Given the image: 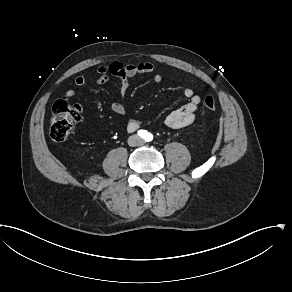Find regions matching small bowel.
Instances as JSON below:
<instances>
[{
	"mask_svg": "<svg viewBox=\"0 0 292 292\" xmlns=\"http://www.w3.org/2000/svg\"><path fill=\"white\" fill-rule=\"evenodd\" d=\"M154 66L150 62L143 63H122L119 61L112 62L109 66H101L98 68V76L95 78L97 84L106 83L111 76L116 77L119 81V91L122 98L126 96L129 90L128 79L133 78L138 75L150 74L153 73ZM155 83H160L162 77L159 74H155L153 77ZM86 79L84 76H77L74 79V84L77 87L85 85ZM184 96L188 99V102L171 112L165 118V125L171 129L184 128L191 125L196 118V111L200 104V96L197 95L193 89L186 88L184 89ZM67 97L75 96L76 92L74 89H68L66 91ZM111 109L114 113L118 115H123L125 113V105L121 101H115L111 104ZM128 129L134 130L139 127V122L130 121L127 124Z\"/></svg>",
	"mask_w": 292,
	"mask_h": 292,
	"instance_id": "c3829d8e",
	"label": "small bowel"
}]
</instances>
